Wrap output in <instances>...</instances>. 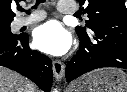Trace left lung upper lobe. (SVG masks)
<instances>
[{
  "mask_svg": "<svg viewBox=\"0 0 127 92\" xmlns=\"http://www.w3.org/2000/svg\"><path fill=\"white\" fill-rule=\"evenodd\" d=\"M83 13L88 14L86 27L77 26L78 35H87L99 27L127 28V9L124 0H77Z\"/></svg>",
  "mask_w": 127,
  "mask_h": 92,
  "instance_id": "5c2ea615",
  "label": "left lung upper lobe"
}]
</instances>
